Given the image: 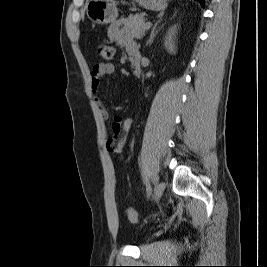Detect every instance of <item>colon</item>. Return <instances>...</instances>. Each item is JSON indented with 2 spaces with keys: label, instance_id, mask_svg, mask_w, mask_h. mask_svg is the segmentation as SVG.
<instances>
[{
  "label": "colon",
  "instance_id": "1",
  "mask_svg": "<svg viewBox=\"0 0 267 267\" xmlns=\"http://www.w3.org/2000/svg\"><path fill=\"white\" fill-rule=\"evenodd\" d=\"M97 54L104 60L109 61L114 56V48L107 44H98L96 47ZM127 218L130 222L136 223L138 221V214L133 208L126 210Z\"/></svg>",
  "mask_w": 267,
  "mask_h": 267
}]
</instances>
